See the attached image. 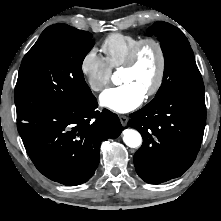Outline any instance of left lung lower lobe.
Listing matches in <instances>:
<instances>
[{"label":"left lung lower lobe","instance_id":"1","mask_svg":"<svg viewBox=\"0 0 221 221\" xmlns=\"http://www.w3.org/2000/svg\"><path fill=\"white\" fill-rule=\"evenodd\" d=\"M130 116L128 125L143 137L134 165L145 182L179 177L193 164L206 124L204 98L167 93Z\"/></svg>","mask_w":221,"mask_h":221}]
</instances>
